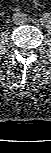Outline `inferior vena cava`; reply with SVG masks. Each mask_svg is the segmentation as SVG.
<instances>
[{"mask_svg":"<svg viewBox=\"0 0 51 153\" xmlns=\"http://www.w3.org/2000/svg\"><path fill=\"white\" fill-rule=\"evenodd\" d=\"M12 19H13L14 24L21 25V24L26 23L27 15L21 12H17L13 14Z\"/></svg>","mask_w":51,"mask_h":153,"instance_id":"inferior-vena-cava-1","label":"inferior vena cava"}]
</instances>
